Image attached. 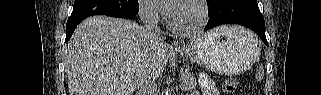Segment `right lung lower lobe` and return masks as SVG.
Instances as JSON below:
<instances>
[{
    "instance_id": "98d812e1",
    "label": "right lung lower lobe",
    "mask_w": 321,
    "mask_h": 95,
    "mask_svg": "<svg viewBox=\"0 0 321 95\" xmlns=\"http://www.w3.org/2000/svg\"><path fill=\"white\" fill-rule=\"evenodd\" d=\"M92 15H97V14H79V15H71L67 21L66 25V39L65 42L69 40V38L72 36L75 28L77 25L86 17L92 16ZM137 15V14H136ZM136 15H108L111 17H118V18H126V19H133L136 17Z\"/></svg>"
}]
</instances>
